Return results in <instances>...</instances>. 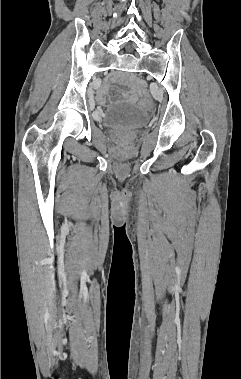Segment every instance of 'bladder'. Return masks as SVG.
I'll return each mask as SVG.
<instances>
[{
    "instance_id": "bladder-1",
    "label": "bladder",
    "mask_w": 241,
    "mask_h": 379,
    "mask_svg": "<svg viewBox=\"0 0 241 379\" xmlns=\"http://www.w3.org/2000/svg\"><path fill=\"white\" fill-rule=\"evenodd\" d=\"M150 120L149 113L131 104H115L101 116V122L109 128L135 130L144 127Z\"/></svg>"
}]
</instances>
